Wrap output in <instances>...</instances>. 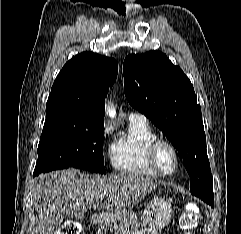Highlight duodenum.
Wrapping results in <instances>:
<instances>
[{
    "label": "duodenum",
    "mask_w": 241,
    "mask_h": 234,
    "mask_svg": "<svg viewBox=\"0 0 241 234\" xmlns=\"http://www.w3.org/2000/svg\"><path fill=\"white\" fill-rule=\"evenodd\" d=\"M94 220H95V222H98V221H99V216L96 215V216L94 217Z\"/></svg>",
    "instance_id": "410a0bca"
}]
</instances>
